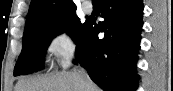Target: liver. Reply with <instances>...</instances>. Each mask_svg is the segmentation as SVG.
Segmentation results:
<instances>
[{
	"mask_svg": "<svg viewBox=\"0 0 173 91\" xmlns=\"http://www.w3.org/2000/svg\"><path fill=\"white\" fill-rule=\"evenodd\" d=\"M14 89V91H101L90 78L82 82L77 72L21 79Z\"/></svg>",
	"mask_w": 173,
	"mask_h": 91,
	"instance_id": "obj_1",
	"label": "liver"
}]
</instances>
